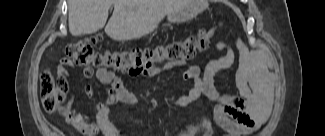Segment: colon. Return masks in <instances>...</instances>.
I'll return each mask as SVG.
<instances>
[{
    "label": "colon",
    "instance_id": "colon-1",
    "mask_svg": "<svg viewBox=\"0 0 325 136\" xmlns=\"http://www.w3.org/2000/svg\"><path fill=\"white\" fill-rule=\"evenodd\" d=\"M214 33L213 28L203 30L196 37L184 42L104 52L95 50L100 37L93 36L69 44L66 48V56L79 66H93L109 71L138 74L159 62L192 58L198 50L208 46ZM40 95L47 112L55 113L62 109L65 96L49 70L43 71L40 76Z\"/></svg>",
    "mask_w": 325,
    "mask_h": 136
}]
</instances>
